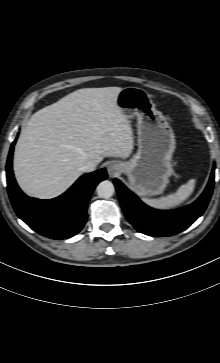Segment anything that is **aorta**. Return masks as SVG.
<instances>
[{
	"label": "aorta",
	"instance_id": "1",
	"mask_svg": "<svg viewBox=\"0 0 220 363\" xmlns=\"http://www.w3.org/2000/svg\"><path fill=\"white\" fill-rule=\"evenodd\" d=\"M96 191L99 197L108 199L113 196L115 187L111 181L104 180L98 184Z\"/></svg>",
	"mask_w": 220,
	"mask_h": 363
}]
</instances>
